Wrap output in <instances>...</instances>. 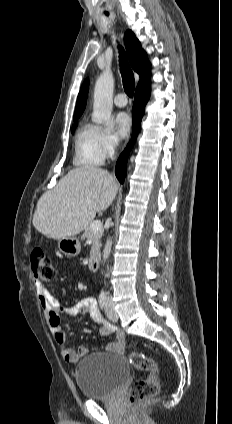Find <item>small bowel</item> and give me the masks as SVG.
I'll list each match as a JSON object with an SVG mask.
<instances>
[{"label":"small bowel","instance_id":"obj_1","mask_svg":"<svg viewBox=\"0 0 232 424\" xmlns=\"http://www.w3.org/2000/svg\"><path fill=\"white\" fill-rule=\"evenodd\" d=\"M36 295L39 304L47 316L49 328L53 334L56 343L60 346V353L63 359L69 363H76L79 359L90 352V348L81 346L77 350L67 346L66 332L62 327L61 318H75L79 315H87L99 325V333L102 336L114 334L116 340L105 347L109 353L120 354L125 350L124 333L117 329L113 324L107 322L100 314L97 303L93 297H86L72 306L62 307L51 290L39 281H35Z\"/></svg>","mask_w":232,"mask_h":424}]
</instances>
